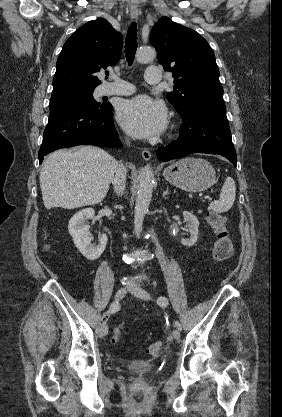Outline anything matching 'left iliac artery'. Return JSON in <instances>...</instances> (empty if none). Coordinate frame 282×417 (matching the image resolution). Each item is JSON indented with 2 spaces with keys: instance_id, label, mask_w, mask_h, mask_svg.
<instances>
[{
  "instance_id": "44dca946",
  "label": "left iliac artery",
  "mask_w": 282,
  "mask_h": 417,
  "mask_svg": "<svg viewBox=\"0 0 282 417\" xmlns=\"http://www.w3.org/2000/svg\"><path fill=\"white\" fill-rule=\"evenodd\" d=\"M157 304L161 307H166L168 305V299L164 296H160L157 299ZM174 324L179 331L182 330L181 324L178 321H174Z\"/></svg>"
}]
</instances>
